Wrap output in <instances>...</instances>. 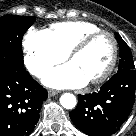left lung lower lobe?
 <instances>
[{"label": "left lung lower lobe", "mask_w": 136, "mask_h": 136, "mask_svg": "<svg viewBox=\"0 0 136 136\" xmlns=\"http://www.w3.org/2000/svg\"><path fill=\"white\" fill-rule=\"evenodd\" d=\"M135 88L136 70L117 72L98 92L79 95L71 120L87 135H112L131 112Z\"/></svg>", "instance_id": "0a47b994"}]
</instances>
